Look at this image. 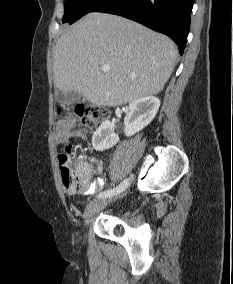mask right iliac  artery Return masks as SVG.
<instances>
[{"instance_id": "obj_1", "label": "right iliac artery", "mask_w": 233, "mask_h": 284, "mask_svg": "<svg viewBox=\"0 0 233 284\" xmlns=\"http://www.w3.org/2000/svg\"><path fill=\"white\" fill-rule=\"evenodd\" d=\"M129 186V179H125L119 186L113 188V189H109L106 190L104 192H101L98 197H108V196H114L115 194H118L120 192H122V189H124L125 187Z\"/></svg>"}]
</instances>
